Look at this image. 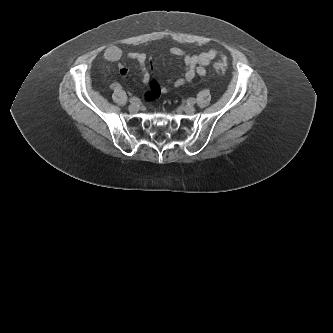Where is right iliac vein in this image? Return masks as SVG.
<instances>
[{"label": "right iliac vein", "mask_w": 333, "mask_h": 333, "mask_svg": "<svg viewBox=\"0 0 333 333\" xmlns=\"http://www.w3.org/2000/svg\"><path fill=\"white\" fill-rule=\"evenodd\" d=\"M128 109L131 113H135L138 111L139 107H138V104L132 103L131 105H129Z\"/></svg>", "instance_id": "right-iliac-vein-1"}]
</instances>
